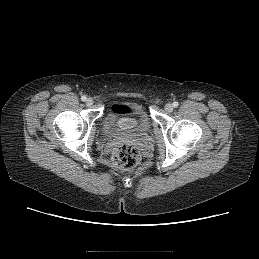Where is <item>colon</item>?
Segmentation results:
<instances>
[{
    "label": "colon",
    "mask_w": 259,
    "mask_h": 259,
    "mask_svg": "<svg viewBox=\"0 0 259 259\" xmlns=\"http://www.w3.org/2000/svg\"><path fill=\"white\" fill-rule=\"evenodd\" d=\"M139 159V149L129 143L120 144L112 153V162L114 166L123 172H133L139 162Z\"/></svg>",
    "instance_id": "1"
}]
</instances>
